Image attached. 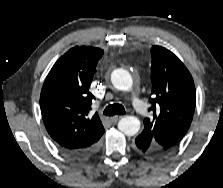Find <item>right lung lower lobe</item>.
Masks as SVG:
<instances>
[{"instance_id":"right-lung-lower-lobe-1","label":"right lung lower lobe","mask_w":223,"mask_h":188,"mask_svg":"<svg viewBox=\"0 0 223 188\" xmlns=\"http://www.w3.org/2000/svg\"><path fill=\"white\" fill-rule=\"evenodd\" d=\"M58 147L68 157L77 159V160H83V159H87L91 157L97 151L98 142L89 147L81 148V149H67L59 145Z\"/></svg>"}]
</instances>
